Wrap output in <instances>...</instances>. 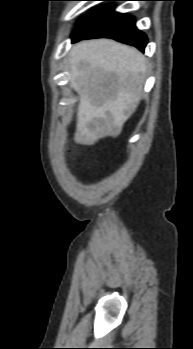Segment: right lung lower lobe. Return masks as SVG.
<instances>
[{
    "mask_svg": "<svg viewBox=\"0 0 193 349\" xmlns=\"http://www.w3.org/2000/svg\"><path fill=\"white\" fill-rule=\"evenodd\" d=\"M71 37L73 42L90 38H112L141 51H144L147 44V37L136 28L134 17L117 13L107 6L97 9L84 19Z\"/></svg>",
    "mask_w": 193,
    "mask_h": 349,
    "instance_id": "right-lung-lower-lobe-1",
    "label": "right lung lower lobe"
}]
</instances>
